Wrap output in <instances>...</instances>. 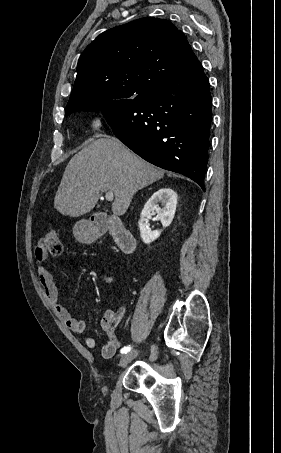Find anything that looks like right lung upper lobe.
<instances>
[{
	"label": "right lung upper lobe",
	"instance_id": "cb5924a9",
	"mask_svg": "<svg viewBox=\"0 0 281 453\" xmlns=\"http://www.w3.org/2000/svg\"><path fill=\"white\" fill-rule=\"evenodd\" d=\"M197 60L185 35L166 19L145 17L112 28L81 54L65 115L129 101Z\"/></svg>",
	"mask_w": 281,
	"mask_h": 453
}]
</instances>
